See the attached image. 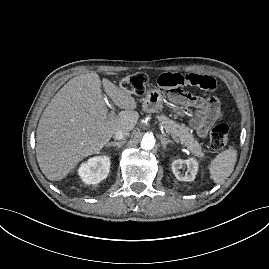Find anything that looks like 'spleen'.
<instances>
[{"instance_id": "obj_1", "label": "spleen", "mask_w": 269, "mask_h": 269, "mask_svg": "<svg viewBox=\"0 0 269 269\" xmlns=\"http://www.w3.org/2000/svg\"><path fill=\"white\" fill-rule=\"evenodd\" d=\"M236 161L237 150L235 148H229L219 153L209 166L211 179L217 184L222 183L234 171Z\"/></svg>"}]
</instances>
